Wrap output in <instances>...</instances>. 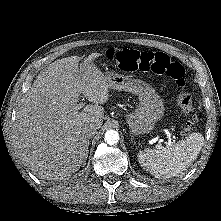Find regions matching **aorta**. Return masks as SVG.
Wrapping results in <instances>:
<instances>
[{
    "label": "aorta",
    "instance_id": "762f6f07",
    "mask_svg": "<svg viewBox=\"0 0 221 221\" xmlns=\"http://www.w3.org/2000/svg\"><path fill=\"white\" fill-rule=\"evenodd\" d=\"M105 142H107L109 145H114L119 141V134L115 130H108L105 133Z\"/></svg>",
    "mask_w": 221,
    "mask_h": 221
}]
</instances>
